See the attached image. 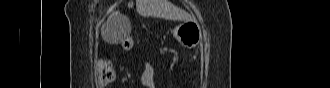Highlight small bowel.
<instances>
[{
  "label": "small bowel",
  "mask_w": 330,
  "mask_h": 88,
  "mask_svg": "<svg viewBox=\"0 0 330 88\" xmlns=\"http://www.w3.org/2000/svg\"><path fill=\"white\" fill-rule=\"evenodd\" d=\"M154 75H155V69H154L153 65L149 61H145L143 64V73H142V77H141V81H142L143 85H145L146 87H149V88H153L154 87V83H153Z\"/></svg>",
  "instance_id": "small-bowel-1"
}]
</instances>
